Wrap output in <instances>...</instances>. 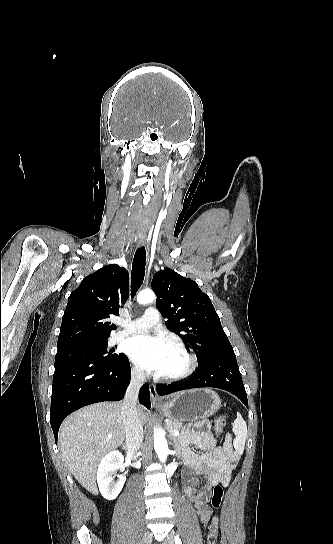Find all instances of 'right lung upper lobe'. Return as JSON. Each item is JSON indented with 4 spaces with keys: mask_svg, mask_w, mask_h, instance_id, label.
<instances>
[{
    "mask_svg": "<svg viewBox=\"0 0 333 544\" xmlns=\"http://www.w3.org/2000/svg\"><path fill=\"white\" fill-rule=\"evenodd\" d=\"M128 292L129 274L119 265L104 266L85 277L68 298L57 348L108 339L116 329L108 318L118 314Z\"/></svg>",
    "mask_w": 333,
    "mask_h": 544,
    "instance_id": "obj_1",
    "label": "right lung upper lobe"
}]
</instances>
